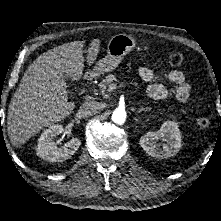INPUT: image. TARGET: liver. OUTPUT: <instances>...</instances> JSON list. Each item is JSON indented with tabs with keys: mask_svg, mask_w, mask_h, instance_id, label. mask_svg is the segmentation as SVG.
<instances>
[{
	"mask_svg": "<svg viewBox=\"0 0 221 221\" xmlns=\"http://www.w3.org/2000/svg\"><path fill=\"white\" fill-rule=\"evenodd\" d=\"M84 41L57 46L40 55L28 67L8 108L7 131L15 147L22 146L45 127L63 120L74 108L68 102L64 74L73 81L83 75ZM100 50V40L90 43L88 65L94 63Z\"/></svg>",
	"mask_w": 221,
	"mask_h": 221,
	"instance_id": "liver-1",
	"label": "liver"
}]
</instances>
